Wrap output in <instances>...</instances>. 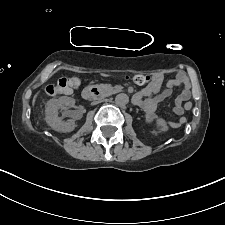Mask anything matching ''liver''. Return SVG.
Returning <instances> with one entry per match:
<instances>
[{
	"label": "liver",
	"instance_id": "liver-1",
	"mask_svg": "<svg viewBox=\"0 0 225 225\" xmlns=\"http://www.w3.org/2000/svg\"><path fill=\"white\" fill-rule=\"evenodd\" d=\"M39 95V92H37L34 97H33V100H32V105L34 106L35 102H36V98L38 97Z\"/></svg>",
	"mask_w": 225,
	"mask_h": 225
}]
</instances>
